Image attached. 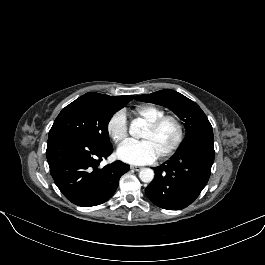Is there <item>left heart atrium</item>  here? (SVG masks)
I'll return each instance as SVG.
<instances>
[{"mask_svg": "<svg viewBox=\"0 0 265 265\" xmlns=\"http://www.w3.org/2000/svg\"><path fill=\"white\" fill-rule=\"evenodd\" d=\"M117 157L132 164H146L155 161L158 154L148 141L123 143L116 152Z\"/></svg>", "mask_w": 265, "mask_h": 265, "instance_id": "1", "label": "left heart atrium"}]
</instances>
